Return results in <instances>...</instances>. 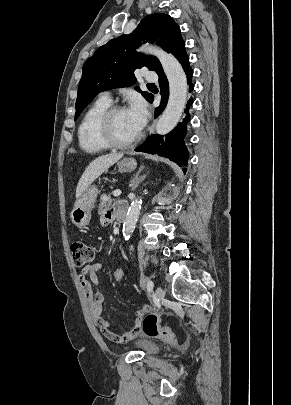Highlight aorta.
<instances>
[{
	"mask_svg": "<svg viewBox=\"0 0 291 405\" xmlns=\"http://www.w3.org/2000/svg\"><path fill=\"white\" fill-rule=\"evenodd\" d=\"M142 52L156 56L166 74L169 82V99L165 111L156 123V132L161 135L169 133L179 122L187 101V78L179 61L161 48L153 45H144ZM141 199L136 198L128 209L123 224V236L128 240L135 229L141 210Z\"/></svg>",
	"mask_w": 291,
	"mask_h": 405,
	"instance_id": "1",
	"label": "aorta"
}]
</instances>
